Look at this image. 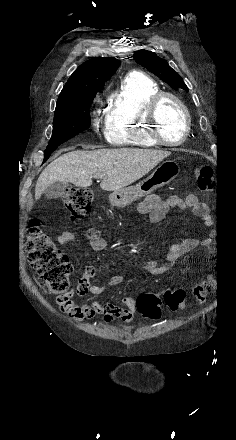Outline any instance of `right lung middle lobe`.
Returning a JSON list of instances; mask_svg holds the SVG:
<instances>
[{
  "instance_id": "1",
  "label": "right lung middle lobe",
  "mask_w": 236,
  "mask_h": 440,
  "mask_svg": "<svg viewBox=\"0 0 236 440\" xmlns=\"http://www.w3.org/2000/svg\"><path fill=\"white\" fill-rule=\"evenodd\" d=\"M95 95L96 93L57 104L52 137L46 149L58 147L90 126L89 107Z\"/></svg>"
}]
</instances>
